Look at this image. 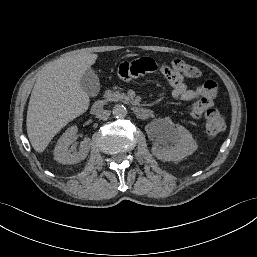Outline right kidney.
Wrapping results in <instances>:
<instances>
[{
	"mask_svg": "<svg viewBox=\"0 0 257 257\" xmlns=\"http://www.w3.org/2000/svg\"><path fill=\"white\" fill-rule=\"evenodd\" d=\"M78 131L77 126L68 128L59 139L54 149V159L62 164H76L83 161L90 150V139H85L81 142L79 150L74 148L69 149L72 140L75 138Z\"/></svg>",
	"mask_w": 257,
	"mask_h": 257,
	"instance_id": "obj_1",
	"label": "right kidney"
}]
</instances>
